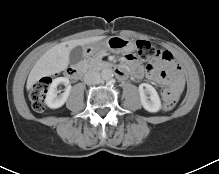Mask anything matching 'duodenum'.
I'll return each instance as SVG.
<instances>
[{
  "mask_svg": "<svg viewBox=\"0 0 219 174\" xmlns=\"http://www.w3.org/2000/svg\"><path fill=\"white\" fill-rule=\"evenodd\" d=\"M96 52H97L96 49H90L86 52V55L88 56V55L94 54ZM99 68L112 69L119 78H126V76H127V73L125 72V70L122 67L116 66L110 62L100 63ZM67 74L72 79H80L84 76L85 69L83 67H72V68L68 69Z\"/></svg>",
  "mask_w": 219,
  "mask_h": 174,
  "instance_id": "duodenum-1",
  "label": "duodenum"
}]
</instances>
